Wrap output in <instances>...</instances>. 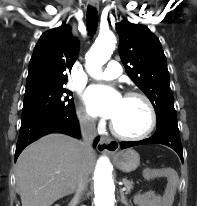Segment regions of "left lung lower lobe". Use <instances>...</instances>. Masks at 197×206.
I'll list each match as a JSON object with an SVG mask.
<instances>
[{
	"instance_id": "obj_1",
	"label": "left lung lower lobe",
	"mask_w": 197,
	"mask_h": 206,
	"mask_svg": "<svg viewBox=\"0 0 197 206\" xmlns=\"http://www.w3.org/2000/svg\"><path fill=\"white\" fill-rule=\"evenodd\" d=\"M143 144H163L174 149L183 162V151L180 140L179 129L164 127L158 129L156 133L148 139L141 141L121 142V149L143 145Z\"/></svg>"
}]
</instances>
